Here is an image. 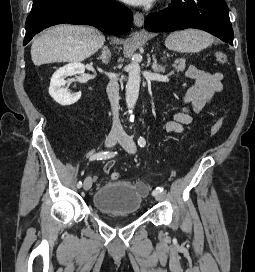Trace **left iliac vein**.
Listing matches in <instances>:
<instances>
[{
    "label": "left iliac vein",
    "instance_id": "1",
    "mask_svg": "<svg viewBox=\"0 0 255 272\" xmlns=\"http://www.w3.org/2000/svg\"><path fill=\"white\" fill-rule=\"evenodd\" d=\"M122 147L129 153L134 154L136 152V144L133 139L127 134H123L119 140ZM157 201H162L165 198V192H159L155 194Z\"/></svg>",
    "mask_w": 255,
    "mask_h": 272
}]
</instances>
